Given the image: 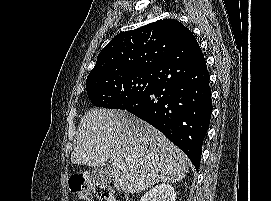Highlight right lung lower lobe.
I'll use <instances>...</instances> for the list:
<instances>
[{
    "instance_id": "right-lung-lower-lobe-1",
    "label": "right lung lower lobe",
    "mask_w": 271,
    "mask_h": 201,
    "mask_svg": "<svg viewBox=\"0 0 271 201\" xmlns=\"http://www.w3.org/2000/svg\"><path fill=\"white\" fill-rule=\"evenodd\" d=\"M153 75L152 86L119 109L161 131L198 171L212 102L205 58L192 32Z\"/></svg>"
}]
</instances>
